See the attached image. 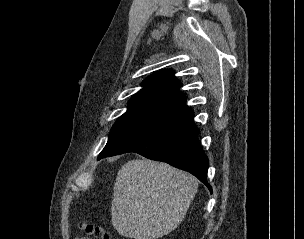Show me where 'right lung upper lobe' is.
<instances>
[{
    "label": "right lung upper lobe",
    "instance_id": "right-lung-upper-lobe-1",
    "mask_svg": "<svg viewBox=\"0 0 304 239\" xmlns=\"http://www.w3.org/2000/svg\"><path fill=\"white\" fill-rule=\"evenodd\" d=\"M172 70H161L143 81L144 88L129 101L127 112H141L173 121L193 113L179 90Z\"/></svg>",
    "mask_w": 304,
    "mask_h": 239
}]
</instances>
